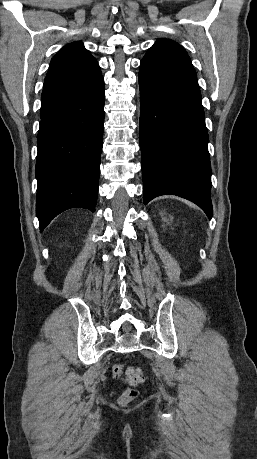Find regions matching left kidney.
Returning a JSON list of instances; mask_svg holds the SVG:
<instances>
[{
  "instance_id": "left-kidney-1",
  "label": "left kidney",
  "mask_w": 257,
  "mask_h": 459,
  "mask_svg": "<svg viewBox=\"0 0 257 459\" xmlns=\"http://www.w3.org/2000/svg\"><path fill=\"white\" fill-rule=\"evenodd\" d=\"M162 220H163L164 222H167V223H168V221H169V219H167L166 217H164V214H162ZM172 220H173V218L170 217V221H172Z\"/></svg>"
}]
</instances>
